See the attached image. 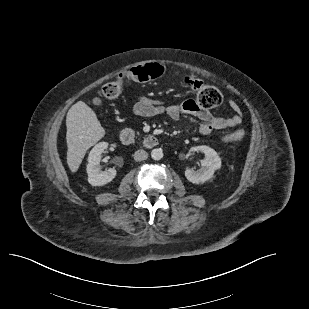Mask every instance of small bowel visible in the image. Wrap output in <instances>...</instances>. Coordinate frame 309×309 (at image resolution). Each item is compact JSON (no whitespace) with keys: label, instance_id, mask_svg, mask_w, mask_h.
Returning <instances> with one entry per match:
<instances>
[{"label":"small bowel","instance_id":"obj_1","mask_svg":"<svg viewBox=\"0 0 309 309\" xmlns=\"http://www.w3.org/2000/svg\"><path fill=\"white\" fill-rule=\"evenodd\" d=\"M229 104L234 114L230 117H218L193 99L179 104L166 105L162 100L141 96L133 107V114L138 117L166 115L172 120H178L183 115H191L202 121L199 127L200 133L209 135L215 130L232 128L242 122V113L238 104L233 100H230Z\"/></svg>","mask_w":309,"mask_h":309}]
</instances>
